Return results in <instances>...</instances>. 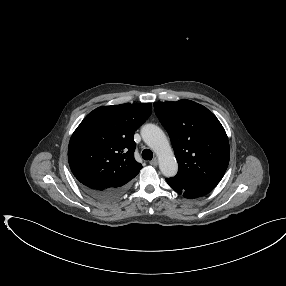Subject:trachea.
<instances>
[{
  "label": "trachea",
  "instance_id": "trachea-1",
  "mask_svg": "<svg viewBox=\"0 0 286 286\" xmlns=\"http://www.w3.org/2000/svg\"><path fill=\"white\" fill-rule=\"evenodd\" d=\"M142 158L144 160H151L153 158V153L150 149H144L142 151Z\"/></svg>",
  "mask_w": 286,
  "mask_h": 286
}]
</instances>
